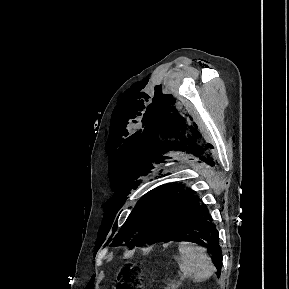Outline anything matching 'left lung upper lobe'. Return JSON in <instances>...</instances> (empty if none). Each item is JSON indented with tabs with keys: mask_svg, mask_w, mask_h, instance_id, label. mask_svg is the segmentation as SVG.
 Returning <instances> with one entry per match:
<instances>
[{
	"mask_svg": "<svg viewBox=\"0 0 289 289\" xmlns=\"http://www.w3.org/2000/svg\"><path fill=\"white\" fill-rule=\"evenodd\" d=\"M182 189L184 185L166 184L145 194L114 237L112 246L127 245L132 249L144 243L162 241L168 221L165 209Z\"/></svg>",
	"mask_w": 289,
	"mask_h": 289,
	"instance_id": "5c2ea615",
	"label": "left lung upper lobe"
}]
</instances>
